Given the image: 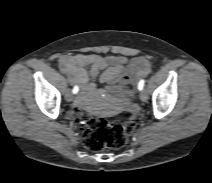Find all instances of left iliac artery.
Instances as JSON below:
<instances>
[{"label":"left iliac artery","instance_id":"obj_1","mask_svg":"<svg viewBox=\"0 0 212 183\" xmlns=\"http://www.w3.org/2000/svg\"><path fill=\"white\" fill-rule=\"evenodd\" d=\"M144 87V80H141L139 83H138V89L139 90H142Z\"/></svg>","mask_w":212,"mask_h":183}]
</instances>
